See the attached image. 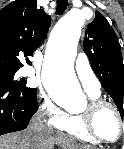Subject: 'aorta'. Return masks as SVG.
Listing matches in <instances>:
<instances>
[{
    "label": "aorta",
    "instance_id": "1",
    "mask_svg": "<svg viewBox=\"0 0 124 149\" xmlns=\"http://www.w3.org/2000/svg\"><path fill=\"white\" fill-rule=\"evenodd\" d=\"M85 14L71 10L55 25L42 72L44 88L55 101L69 102L73 109L84 104V95L74 71V60Z\"/></svg>",
    "mask_w": 124,
    "mask_h": 149
}]
</instances>
